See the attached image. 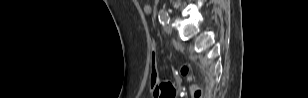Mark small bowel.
Wrapping results in <instances>:
<instances>
[{
    "label": "small bowel",
    "instance_id": "c3829d8e",
    "mask_svg": "<svg viewBox=\"0 0 308 98\" xmlns=\"http://www.w3.org/2000/svg\"><path fill=\"white\" fill-rule=\"evenodd\" d=\"M142 10L145 14H149L152 11V7L150 5V3L147 0H141L140 1ZM164 81V80H163ZM174 85V84H173Z\"/></svg>",
    "mask_w": 308,
    "mask_h": 98
}]
</instances>
